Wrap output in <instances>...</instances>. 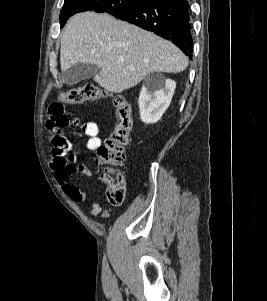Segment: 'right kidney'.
I'll return each mask as SVG.
<instances>
[{"instance_id": "obj_1", "label": "right kidney", "mask_w": 267, "mask_h": 301, "mask_svg": "<svg viewBox=\"0 0 267 301\" xmlns=\"http://www.w3.org/2000/svg\"><path fill=\"white\" fill-rule=\"evenodd\" d=\"M175 81L166 79L160 84H148L143 86L138 103L141 120L146 124L159 121L169 107L174 90Z\"/></svg>"}]
</instances>
